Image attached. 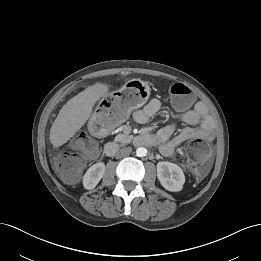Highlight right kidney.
<instances>
[{"mask_svg":"<svg viewBox=\"0 0 261 261\" xmlns=\"http://www.w3.org/2000/svg\"><path fill=\"white\" fill-rule=\"evenodd\" d=\"M105 172V164L98 162L92 165L83 177V186L85 189H93L99 183Z\"/></svg>","mask_w":261,"mask_h":261,"instance_id":"ca27d5eb","label":"right kidney"}]
</instances>
